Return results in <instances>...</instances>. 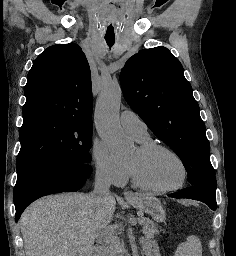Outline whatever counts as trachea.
<instances>
[{"mask_svg":"<svg viewBox=\"0 0 236 256\" xmlns=\"http://www.w3.org/2000/svg\"><path fill=\"white\" fill-rule=\"evenodd\" d=\"M107 44L109 45V47H112V45L115 42V39H106Z\"/></svg>","mask_w":236,"mask_h":256,"instance_id":"trachea-1","label":"trachea"}]
</instances>
